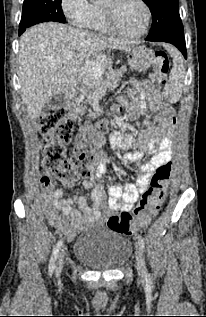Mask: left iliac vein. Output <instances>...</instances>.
Returning a JSON list of instances; mask_svg holds the SVG:
<instances>
[{
    "instance_id": "left-iliac-vein-1",
    "label": "left iliac vein",
    "mask_w": 206,
    "mask_h": 317,
    "mask_svg": "<svg viewBox=\"0 0 206 317\" xmlns=\"http://www.w3.org/2000/svg\"><path fill=\"white\" fill-rule=\"evenodd\" d=\"M136 266L140 279H145L147 270L144 256L139 245H136Z\"/></svg>"
}]
</instances>
